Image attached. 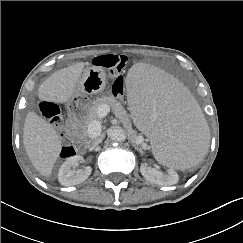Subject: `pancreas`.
I'll use <instances>...</instances> for the list:
<instances>
[{
	"instance_id": "pancreas-1",
	"label": "pancreas",
	"mask_w": 243,
	"mask_h": 243,
	"mask_svg": "<svg viewBox=\"0 0 243 243\" xmlns=\"http://www.w3.org/2000/svg\"><path fill=\"white\" fill-rule=\"evenodd\" d=\"M101 105H108L111 107L113 113L115 116L123 123H129V116L127 114V111L122 106L120 102H118L114 97L112 96H102L96 98L93 102H91L89 110H88V116L87 119L84 121L82 125L83 134L85 136H89L88 134V126L89 124L96 120L98 116V108Z\"/></svg>"
}]
</instances>
